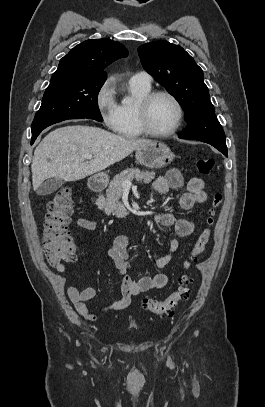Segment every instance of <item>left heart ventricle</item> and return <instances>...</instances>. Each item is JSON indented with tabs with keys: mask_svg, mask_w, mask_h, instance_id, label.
Listing matches in <instances>:
<instances>
[{
	"mask_svg": "<svg viewBox=\"0 0 265 407\" xmlns=\"http://www.w3.org/2000/svg\"><path fill=\"white\" fill-rule=\"evenodd\" d=\"M177 119V108L166 96L157 97L149 109L150 127L157 132H165L173 127Z\"/></svg>",
	"mask_w": 265,
	"mask_h": 407,
	"instance_id": "b2bd125f",
	"label": "left heart ventricle"
}]
</instances>
